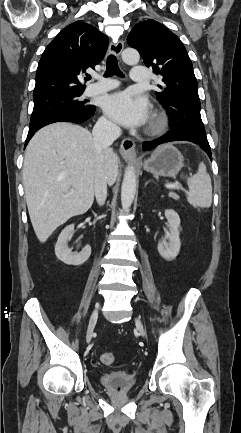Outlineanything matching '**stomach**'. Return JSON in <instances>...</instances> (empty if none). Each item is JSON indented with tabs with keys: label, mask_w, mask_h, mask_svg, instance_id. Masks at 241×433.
Instances as JSON below:
<instances>
[{
	"label": "stomach",
	"mask_w": 241,
	"mask_h": 433,
	"mask_svg": "<svg viewBox=\"0 0 241 433\" xmlns=\"http://www.w3.org/2000/svg\"><path fill=\"white\" fill-rule=\"evenodd\" d=\"M142 166L154 176L174 177L183 167V158L172 144H165L159 146Z\"/></svg>",
	"instance_id": "1"
}]
</instances>
